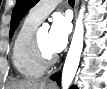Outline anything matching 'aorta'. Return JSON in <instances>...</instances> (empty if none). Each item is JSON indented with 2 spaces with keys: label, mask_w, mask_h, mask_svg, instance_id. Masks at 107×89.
I'll use <instances>...</instances> for the list:
<instances>
[{
  "label": "aorta",
  "mask_w": 107,
  "mask_h": 89,
  "mask_svg": "<svg viewBox=\"0 0 107 89\" xmlns=\"http://www.w3.org/2000/svg\"><path fill=\"white\" fill-rule=\"evenodd\" d=\"M85 7H81L78 18L76 20L75 30L73 33L71 45L65 60V64L62 71V81L61 85L63 89H68L75 77L81 52L83 49V37H84V26H83V17H84ZM49 25L43 24L42 30H48Z\"/></svg>",
  "instance_id": "762f6f07"
}]
</instances>
